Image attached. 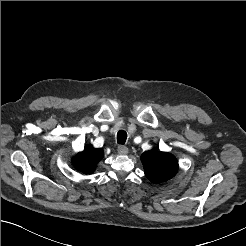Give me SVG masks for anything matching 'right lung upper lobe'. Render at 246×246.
I'll list each match as a JSON object with an SVG mask.
<instances>
[{
  "label": "right lung upper lobe",
  "mask_w": 246,
  "mask_h": 246,
  "mask_svg": "<svg viewBox=\"0 0 246 246\" xmlns=\"http://www.w3.org/2000/svg\"><path fill=\"white\" fill-rule=\"evenodd\" d=\"M104 156L102 149H95L91 145H87L84 151L78 153L73 160V165L82 172L91 173L95 170V166Z\"/></svg>",
  "instance_id": "cb5924a9"
}]
</instances>
